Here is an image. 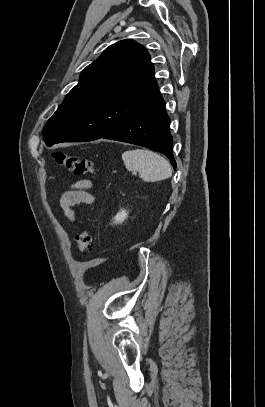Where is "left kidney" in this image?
I'll return each mask as SVG.
<instances>
[{"mask_svg":"<svg viewBox=\"0 0 265 407\" xmlns=\"http://www.w3.org/2000/svg\"><path fill=\"white\" fill-rule=\"evenodd\" d=\"M128 218V212L125 210L120 211L114 218L115 224H121L124 220Z\"/></svg>","mask_w":265,"mask_h":407,"instance_id":"1","label":"left kidney"}]
</instances>
